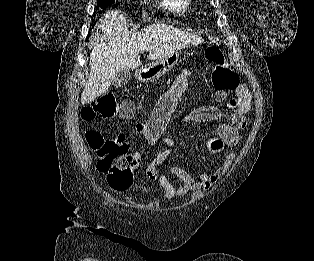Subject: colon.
Returning <instances> with one entry per match:
<instances>
[{
    "label": "colon",
    "instance_id": "1",
    "mask_svg": "<svg viewBox=\"0 0 314 261\" xmlns=\"http://www.w3.org/2000/svg\"><path fill=\"white\" fill-rule=\"evenodd\" d=\"M207 60L212 64L211 80L220 99L239 87L237 74L229 67L222 51L209 46L205 51ZM134 113L130 102H120L112 92H106L91 104L84 106L80 117L85 123L96 119L109 120L114 117H131ZM88 146L97 153L98 169L106 175L107 184L117 190L128 188L133 182V169L137 165L135 154L128 150L123 138H105L98 130L85 132Z\"/></svg>",
    "mask_w": 314,
    "mask_h": 261
}]
</instances>
